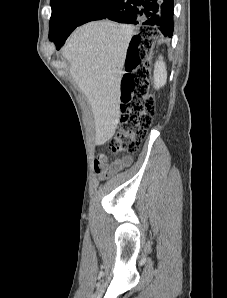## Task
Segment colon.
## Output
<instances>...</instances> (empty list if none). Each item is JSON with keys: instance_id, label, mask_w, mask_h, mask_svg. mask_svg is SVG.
Masks as SVG:
<instances>
[{"instance_id": "1", "label": "colon", "mask_w": 227, "mask_h": 298, "mask_svg": "<svg viewBox=\"0 0 227 298\" xmlns=\"http://www.w3.org/2000/svg\"><path fill=\"white\" fill-rule=\"evenodd\" d=\"M142 31L130 48L125 74L120 85V121L117 132L108 142L112 152L135 153L151 126L156 105L150 94L147 58L153 44Z\"/></svg>"}]
</instances>
